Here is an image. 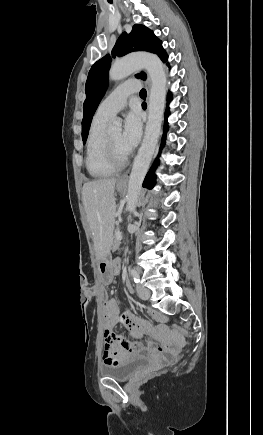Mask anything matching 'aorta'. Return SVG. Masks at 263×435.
Masks as SVG:
<instances>
[{"instance_id": "1", "label": "aorta", "mask_w": 263, "mask_h": 435, "mask_svg": "<svg viewBox=\"0 0 263 435\" xmlns=\"http://www.w3.org/2000/svg\"><path fill=\"white\" fill-rule=\"evenodd\" d=\"M140 68H144L148 72L151 79V89L145 135L138 154L134 159L128 182L127 209L132 212L137 207L142 183L159 140L165 107L167 77L161 60L156 55L149 53L126 56L116 61L109 71V79L118 81ZM121 127V121L118 119L114 120L110 126V131L120 132Z\"/></svg>"}]
</instances>
